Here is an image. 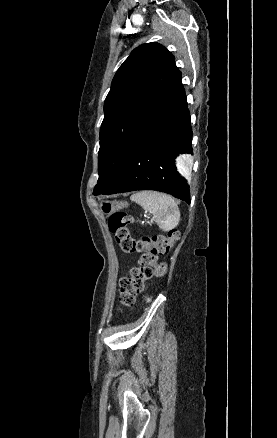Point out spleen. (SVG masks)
<instances>
[{"label":"spleen","instance_id":"1","mask_svg":"<svg viewBox=\"0 0 277 438\" xmlns=\"http://www.w3.org/2000/svg\"><path fill=\"white\" fill-rule=\"evenodd\" d=\"M132 202H137L143 210L150 212L154 216L159 228L164 232L173 230L179 224L180 212L173 198L159 192H137L131 196Z\"/></svg>","mask_w":277,"mask_h":438}]
</instances>
